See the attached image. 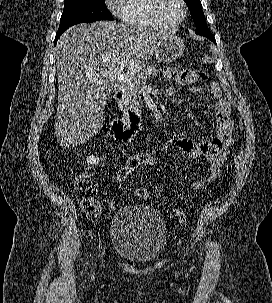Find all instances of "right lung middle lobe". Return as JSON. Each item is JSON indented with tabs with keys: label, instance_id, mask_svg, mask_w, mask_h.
Wrapping results in <instances>:
<instances>
[{
	"label": "right lung middle lobe",
	"instance_id": "dd1d6c3e",
	"mask_svg": "<svg viewBox=\"0 0 272 303\" xmlns=\"http://www.w3.org/2000/svg\"><path fill=\"white\" fill-rule=\"evenodd\" d=\"M99 20H113L105 0H64V10L57 33H63L75 24Z\"/></svg>",
	"mask_w": 272,
	"mask_h": 303
}]
</instances>
